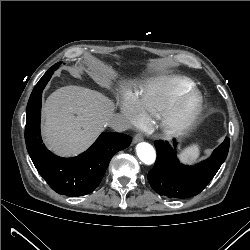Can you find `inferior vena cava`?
<instances>
[{"instance_id":"602c4592","label":"inferior vena cava","mask_w":250,"mask_h":250,"mask_svg":"<svg viewBox=\"0 0 250 250\" xmlns=\"http://www.w3.org/2000/svg\"><path fill=\"white\" fill-rule=\"evenodd\" d=\"M106 125L117 132H123L129 129L130 124L127 118L122 115L115 114L106 120Z\"/></svg>"}]
</instances>
